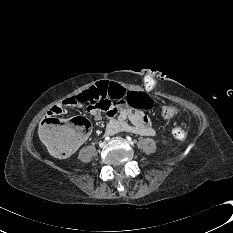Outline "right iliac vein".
<instances>
[{"mask_svg":"<svg viewBox=\"0 0 233 233\" xmlns=\"http://www.w3.org/2000/svg\"><path fill=\"white\" fill-rule=\"evenodd\" d=\"M105 146H106V142H105V141L100 143V147H101V148H103V147H105Z\"/></svg>","mask_w":233,"mask_h":233,"instance_id":"63e3f726","label":"right iliac vein"}]
</instances>
